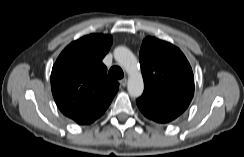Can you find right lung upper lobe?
Listing matches in <instances>:
<instances>
[{
    "label": "right lung upper lobe",
    "instance_id": "right-lung-upper-lobe-1",
    "mask_svg": "<svg viewBox=\"0 0 244 157\" xmlns=\"http://www.w3.org/2000/svg\"><path fill=\"white\" fill-rule=\"evenodd\" d=\"M112 37L91 34L72 42L51 73V89L60 111L78 124H91L109 107L119 83L108 78L102 59Z\"/></svg>",
    "mask_w": 244,
    "mask_h": 157
}]
</instances>
